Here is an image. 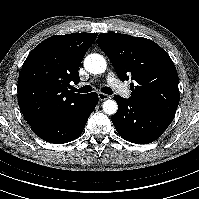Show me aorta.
Returning a JSON list of instances; mask_svg holds the SVG:
<instances>
[{"label": "aorta", "instance_id": "aorta-1", "mask_svg": "<svg viewBox=\"0 0 199 199\" xmlns=\"http://www.w3.org/2000/svg\"><path fill=\"white\" fill-rule=\"evenodd\" d=\"M85 69L92 74H102L107 68L106 60L100 54H90L84 60ZM118 109L117 103L114 100H106L103 103V111L106 114L113 115Z\"/></svg>", "mask_w": 199, "mask_h": 199}]
</instances>
